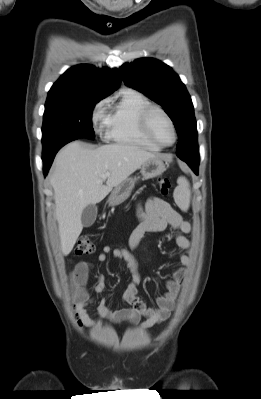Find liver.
<instances>
[{
  "instance_id": "obj_1",
  "label": "liver",
  "mask_w": 261,
  "mask_h": 399,
  "mask_svg": "<svg viewBox=\"0 0 261 399\" xmlns=\"http://www.w3.org/2000/svg\"><path fill=\"white\" fill-rule=\"evenodd\" d=\"M156 157L135 145L109 144L90 149L79 141L68 144L57 154L50 182L64 256L72 251L82 232L84 208L102 201L113 187L127 179L144 162ZM105 173L109 176L103 185Z\"/></svg>"
}]
</instances>
